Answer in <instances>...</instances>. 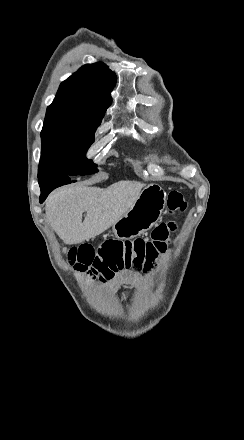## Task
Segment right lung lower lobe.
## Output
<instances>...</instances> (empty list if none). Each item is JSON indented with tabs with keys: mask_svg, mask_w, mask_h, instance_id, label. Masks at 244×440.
Segmentation results:
<instances>
[{
	"mask_svg": "<svg viewBox=\"0 0 244 440\" xmlns=\"http://www.w3.org/2000/svg\"><path fill=\"white\" fill-rule=\"evenodd\" d=\"M71 182H74L72 180V177L70 176H51V177H45L43 179H39V185L41 189V195H40V203H43L44 200L47 198L48 194L54 190L55 188L69 184Z\"/></svg>",
	"mask_w": 244,
	"mask_h": 440,
	"instance_id": "98d812e1",
	"label": "right lung lower lobe"
}]
</instances>
